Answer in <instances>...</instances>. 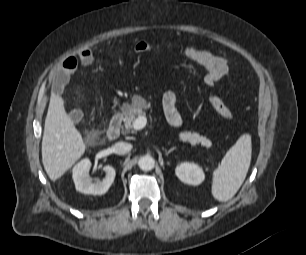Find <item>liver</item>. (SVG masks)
<instances>
[{"instance_id":"obj_1","label":"liver","mask_w":306,"mask_h":255,"mask_svg":"<svg viewBox=\"0 0 306 255\" xmlns=\"http://www.w3.org/2000/svg\"><path fill=\"white\" fill-rule=\"evenodd\" d=\"M82 135L66 113L64 100L52 94L42 139V162L52 181L59 179L84 154Z\"/></svg>"}]
</instances>
